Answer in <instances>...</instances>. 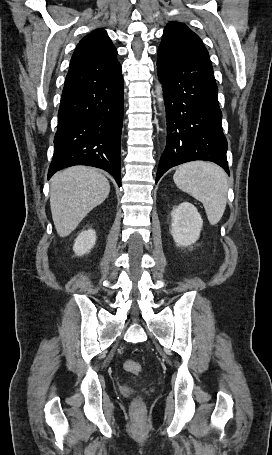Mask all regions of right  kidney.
Here are the masks:
<instances>
[{"label": "right kidney", "instance_id": "1", "mask_svg": "<svg viewBox=\"0 0 272 455\" xmlns=\"http://www.w3.org/2000/svg\"><path fill=\"white\" fill-rule=\"evenodd\" d=\"M96 242V232L93 229L82 231L73 246V250L77 256H82L90 252Z\"/></svg>", "mask_w": 272, "mask_h": 455}]
</instances>
